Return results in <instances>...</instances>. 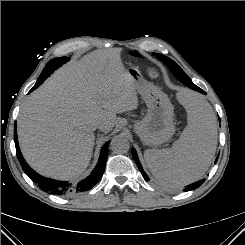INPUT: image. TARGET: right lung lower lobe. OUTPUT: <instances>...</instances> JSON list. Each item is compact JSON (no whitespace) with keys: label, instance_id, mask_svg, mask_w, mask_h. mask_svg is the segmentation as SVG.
I'll return each mask as SVG.
<instances>
[{"label":"right lung lower lobe","instance_id":"98d812e1","mask_svg":"<svg viewBox=\"0 0 245 245\" xmlns=\"http://www.w3.org/2000/svg\"><path fill=\"white\" fill-rule=\"evenodd\" d=\"M53 71L54 69L52 67L46 68L45 66L36 84L30 90V92L36 89L37 87H39ZM14 141H15L16 154H17L18 160L23 170L28 175V177L32 179L35 183H37L38 186L42 188L43 190L49 191L50 193L56 194V195H69L73 193L87 191V190H90L95 184H97L98 181L101 179L103 172H104L105 164L107 161V155H108V145L110 143V141H108L102 147L98 164L96 165L92 173L86 179L82 180L81 182L75 185H71L68 182L56 181V180H52L49 178H45L39 175L38 173H36L33 169H31V167L24 160L21 154L19 145H18L16 122L14 124Z\"/></svg>","mask_w":245,"mask_h":245}]
</instances>
